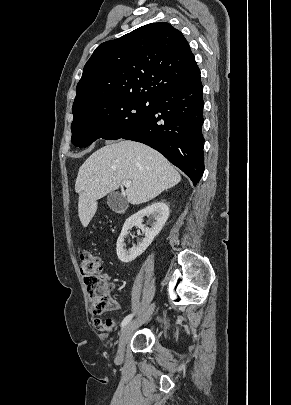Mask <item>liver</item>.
Masks as SVG:
<instances>
[{
	"instance_id": "6515ba94",
	"label": "liver",
	"mask_w": 291,
	"mask_h": 405,
	"mask_svg": "<svg viewBox=\"0 0 291 405\" xmlns=\"http://www.w3.org/2000/svg\"><path fill=\"white\" fill-rule=\"evenodd\" d=\"M127 180L132 183L126 189L127 201L139 205L177 185L181 176L149 146L124 140L107 144L87 158L77 175L78 216L84 227L95 215L97 201Z\"/></svg>"
}]
</instances>
